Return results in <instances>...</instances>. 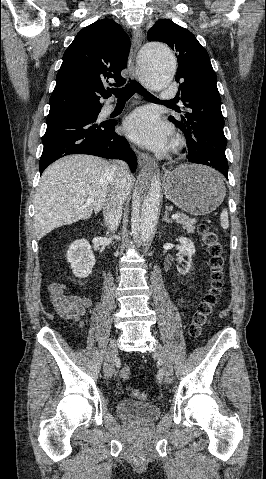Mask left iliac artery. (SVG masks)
<instances>
[{"label":"left iliac artery","instance_id":"left-iliac-artery-1","mask_svg":"<svg viewBox=\"0 0 266 479\" xmlns=\"http://www.w3.org/2000/svg\"><path fill=\"white\" fill-rule=\"evenodd\" d=\"M162 370H163V367H162V366H159L158 369H157V371H156V372H157V374H156V375H157V378H158V380H160V381L163 380V378H164V377H163V374H162V372H163Z\"/></svg>","mask_w":266,"mask_h":479}]
</instances>
